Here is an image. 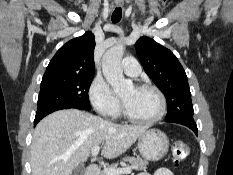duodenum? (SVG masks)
<instances>
[{
    "label": "duodenum",
    "mask_w": 233,
    "mask_h": 175,
    "mask_svg": "<svg viewBox=\"0 0 233 175\" xmlns=\"http://www.w3.org/2000/svg\"><path fill=\"white\" fill-rule=\"evenodd\" d=\"M85 175H98V169L96 165H89L86 168Z\"/></svg>",
    "instance_id": "1"
}]
</instances>
